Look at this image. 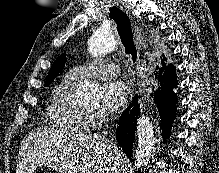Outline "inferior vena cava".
Masks as SVG:
<instances>
[{"mask_svg": "<svg viewBox=\"0 0 219 173\" xmlns=\"http://www.w3.org/2000/svg\"><path fill=\"white\" fill-rule=\"evenodd\" d=\"M107 122H108V121H107ZM108 128H109V126H108V124L106 123V124H105V128H104V131H103L101 137H103V138L108 142V146H109V149H110V151H111L112 159L115 160V159H117V157H118V147H117V145H116L114 142L109 141V140L106 138V136H107V134H108V131H107Z\"/></svg>", "mask_w": 219, "mask_h": 173, "instance_id": "1", "label": "inferior vena cava"}]
</instances>
